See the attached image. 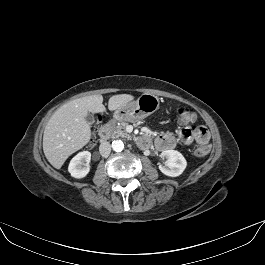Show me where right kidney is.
<instances>
[{
	"label": "right kidney",
	"instance_id": "1",
	"mask_svg": "<svg viewBox=\"0 0 265 265\" xmlns=\"http://www.w3.org/2000/svg\"><path fill=\"white\" fill-rule=\"evenodd\" d=\"M91 153L89 151H83L78 153L69 163L68 172L74 178H84L90 171Z\"/></svg>",
	"mask_w": 265,
	"mask_h": 265
}]
</instances>
